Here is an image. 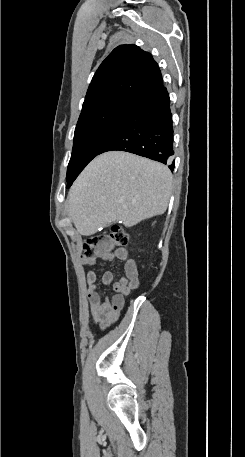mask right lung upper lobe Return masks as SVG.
Here are the masks:
<instances>
[{"label":"right lung upper lobe","mask_w":245,"mask_h":457,"mask_svg":"<svg viewBox=\"0 0 245 457\" xmlns=\"http://www.w3.org/2000/svg\"><path fill=\"white\" fill-rule=\"evenodd\" d=\"M162 85L161 72L150 53L136 45H120L93 76L81 114L109 107L130 109L142 96Z\"/></svg>","instance_id":"1"}]
</instances>
